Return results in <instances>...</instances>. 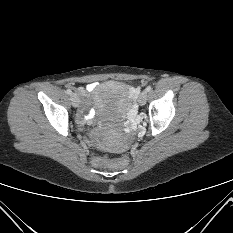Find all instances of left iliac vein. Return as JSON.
Here are the masks:
<instances>
[{
  "label": "left iliac vein",
  "mask_w": 233,
  "mask_h": 233,
  "mask_svg": "<svg viewBox=\"0 0 233 233\" xmlns=\"http://www.w3.org/2000/svg\"><path fill=\"white\" fill-rule=\"evenodd\" d=\"M147 100V91H142L141 94L138 97V102L141 106L145 105Z\"/></svg>",
  "instance_id": "left-iliac-vein-1"
}]
</instances>
